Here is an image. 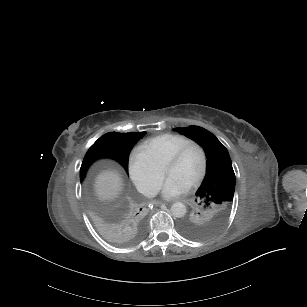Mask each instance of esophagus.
<instances>
[{
  "instance_id": "34e87169",
  "label": "esophagus",
  "mask_w": 307,
  "mask_h": 307,
  "mask_svg": "<svg viewBox=\"0 0 307 307\" xmlns=\"http://www.w3.org/2000/svg\"><path fill=\"white\" fill-rule=\"evenodd\" d=\"M155 204L158 205V206H160V205H162L163 203H162L161 201H155Z\"/></svg>"
}]
</instances>
